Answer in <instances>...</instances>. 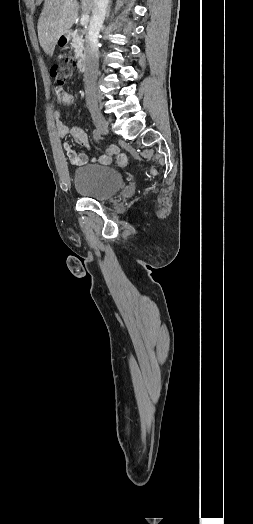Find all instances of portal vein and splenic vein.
Returning <instances> with one entry per match:
<instances>
[{
  "mask_svg": "<svg viewBox=\"0 0 253 524\" xmlns=\"http://www.w3.org/2000/svg\"><path fill=\"white\" fill-rule=\"evenodd\" d=\"M88 22H89V15L88 14L82 15V17L80 19V24L81 25H86Z\"/></svg>",
  "mask_w": 253,
  "mask_h": 524,
  "instance_id": "obj_1",
  "label": "portal vein and splenic vein"
}]
</instances>
